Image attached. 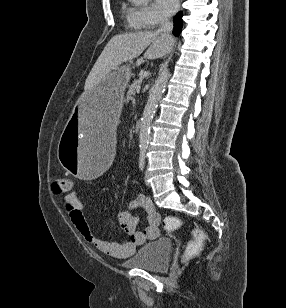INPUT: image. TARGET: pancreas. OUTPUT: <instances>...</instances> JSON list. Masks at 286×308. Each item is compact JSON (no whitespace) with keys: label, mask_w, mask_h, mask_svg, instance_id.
I'll list each match as a JSON object with an SVG mask.
<instances>
[{"label":"pancreas","mask_w":286,"mask_h":308,"mask_svg":"<svg viewBox=\"0 0 286 308\" xmlns=\"http://www.w3.org/2000/svg\"><path fill=\"white\" fill-rule=\"evenodd\" d=\"M141 82L139 80H134L133 83L129 86L127 96L131 98L136 94L137 87H140Z\"/></svg>","instance_id":"cf45deb5"}]
</instances>
